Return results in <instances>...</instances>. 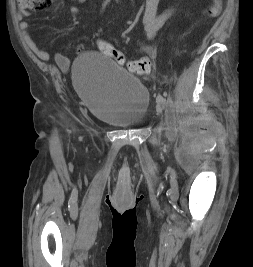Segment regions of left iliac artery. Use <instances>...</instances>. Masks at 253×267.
<instances>
[{
	"mask_svg": "<svg viewBox=\"0 0 253 267\" xmlns=\"http://www.w3.org/2000/svg\"><path fill=\"white\" fill-rule=\"evenodd\" d=\"M156 101H157V103L164 105L166 100H165V98L163 96L158 95L156 97Z\"/></svg>",
	"mask_w": 253,
	"mask_h": 267,
	"instance_id": "left-iliac-artery-1",
	"label": "left iliac artery"
}]
</instances>
